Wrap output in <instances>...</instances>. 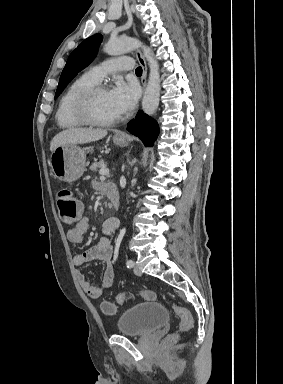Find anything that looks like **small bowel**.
I'll list each match as a JSON object with an SVG mask.
<instances>
[{"label": "small bowel", "mask_w": 283, "mask_h": 384, "mask_svg": "<svg viewBox=\"0 0 283 384\" xmlns=\"http://www.w3.org/2000/svg\"><path fill=\"white\" fill-rule=\"evenodd\" d=\"M94 187L97 190H104V185L95 182ZM119 220L116 217L107 218L102 225L103 235L99 238L95 245L88 250L77 253L73 256V264L77 267L84 264L102 260L105 263L103 277L99 285L92 284L84 275L83 272H77V279L80 283L83 291L92 299H97L101 296L103 291L110 288L114 281V268H113V246L110 237L119 228ZM89 226V216L86 213L82 214L81 219L71 229L67 231V239L75 244L81 243L84 238V234L87 232Z\"/></svg>", "instance_id": "obj_1"}]
</instances>
